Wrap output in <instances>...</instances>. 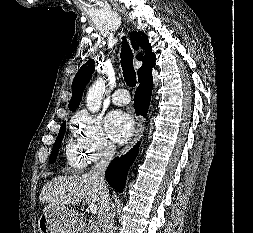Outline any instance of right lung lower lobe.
Masks as SVG:
<instances>
[{
	"mask_svg": "<svg viewBox=\"0 0 253 233\" xmlns=\"http://www.w3.org/2000/svg\"><path fill=\"white\" fill-rule=\"evenodd\" d=\"M140 85L136 89L134 98V108L137 115L146 116L153 87L152 72L148 71L138 78ZM139 143L132 148L126 155L115 158L108 166L105 177L110 186L118 192H123L126 183L129 167L134 162L138 151Z\"/></svg>",
	"mask_w": 253,
	"mask_h": 233,
	"instance_id": "right-lung-lower-lobe-1",
	"label": "right lung lower lobe"
}]
</instances>
